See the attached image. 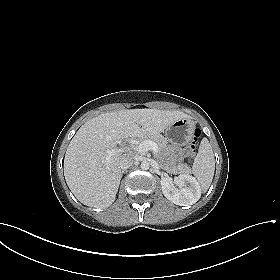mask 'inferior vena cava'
Masks as SVG:
<instances>
[{
    "instance_id": "obj_1",
    "label": "inferior vena cava",
    "mask_w": 280,
    "mask_h": 280,
    "mask_svg": "<svg viewBox=\"0 0 280 280\" xmlns=\"http://www.w3.org/2000/svg\"><path fill=\"white\" fill-rule=\"evenodd\" d=\"M136 162V158L132 154H124L119 162V166L122 170H126Z\"/></svg>"
}]
</instances>
